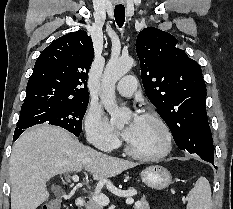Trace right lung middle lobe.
Wrapping results in <instances>:
<instances>
[{
	"mask_svg": "<svg viewBox=\"0 0 233 209\" xmlns=\"http://www.w3.org/2000/svg\"><path fill=\"white\" fill-rule=\"evenodd\" d=\"M88 102L89 100L44 101L23 104L15 132L22 133L23 129L45 123L60 126L78 137L82 131V119Z\"/></svg>",
	"mask_w": 233,
	"mask_h": 209,
	"instance_id": "1",
	"label": "right lung middle lobe"
}]
</instances>
